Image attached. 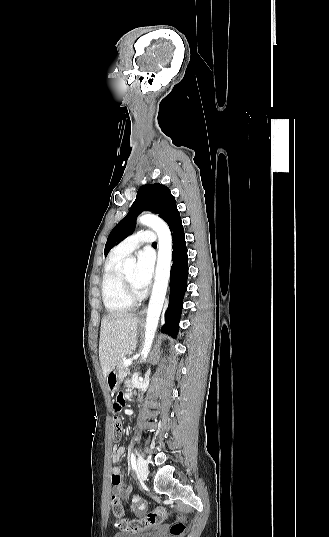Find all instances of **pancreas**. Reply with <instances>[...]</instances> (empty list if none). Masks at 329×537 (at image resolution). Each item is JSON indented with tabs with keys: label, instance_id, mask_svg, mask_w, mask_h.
Instances as JSON below:
<instances>
[{
	"label": "pancreas",
	"instance_id": "cf45deb5",
	"mask_svg": "<svg viewBox=\"0 0 329 537\" xmlns=\"http://www.w3.org/2000/svg\"><path fill=\"white\" fill-rule=\"evenodd\" d=\"M125 359H121V361L117 365V373L119 378H123L128 373V368L124 366Z\"/></svg>",
	"mask_w": 329,
	"mask_h": 537
}]
</instances>
